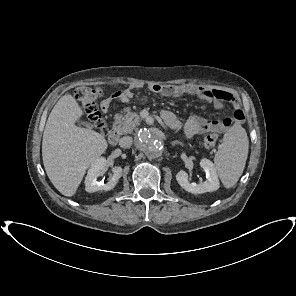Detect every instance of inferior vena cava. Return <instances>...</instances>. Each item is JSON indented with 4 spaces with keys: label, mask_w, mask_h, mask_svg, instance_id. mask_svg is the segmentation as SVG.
<instances>
[{
    "label": "inferior vena cava",
    "mask_w": 296,
    "mask_h": 296,
    "mask_svg": "<svg viewBox=\"0 0 296 296\" xmlns=\"http://www.w3.org/2000/svg\"><path fill=\"white\" fill-rule=\"evenodd\" d=\"M132 143H133V138L130 136H124L119 141V145L122 148H129L131 147Z\"/></svg>",
    "instance_id": "obj_1"
}]
</instances>
